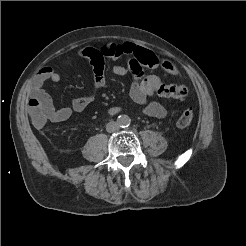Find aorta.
Segmentation results:
<instances>
[{
    "label": "aorta",
    "mask_w": 246,
    "mask_h": 246,
    "mask_svg": "<svg viewBox=\"0 0 246 246\" xmlns=\"http://www.w3.org/2000/svg\"><path fill=\"white\" fill-rule=\"evenodd\" d=\"M118 123L120 126H128L130 124V119L127 115H122L119 117Z\"/></svg>",
    "instance_id": "762f6f07"
}]
</instances>
